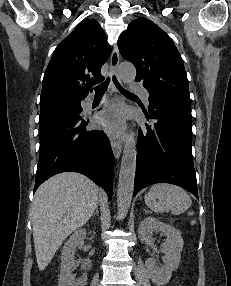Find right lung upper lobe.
<instances>
[{
  "label": "right lung upper lobe",
  "instance_id": "right-lung-upper-lobe-1",
  "mask_svg": "<svg viewBox=\"0 0 231 286\" xmlns=\"http://www.w3.org/2000/svg\"><path fill=\"white\" fill-rule=\"evenodd\" d=\"M111 53L97 21H82L55 49L43 78L41 108L83 100L101 83V67Z\"/></svg>",
  "mask_w": 231,
  "mask_h": 286
}]
</instances>
